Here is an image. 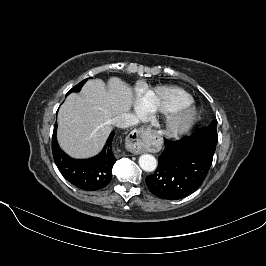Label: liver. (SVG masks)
I'll use <instances>...</instances> for the list:
<instances>
[{
  "label": "liver",
  "mask_w": 266,
  "mask_h": 266,
  "mask_svg": "<svg viewBox=\"0 0 266 266\" xmlns=\"http://www.w3.org/2000/svg\"><path fill=\"white\" fill-rule=\"evenodd\" d=\"M132 89L120 78L89 80L80 94L69 95L58 112L57 138L61 148L75 158L96 155L111 130L110 120L130 111Z\"/></svg>",
  "instance_id": "6515ba94"
}]
</instances>
